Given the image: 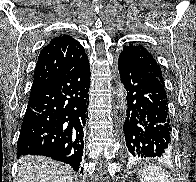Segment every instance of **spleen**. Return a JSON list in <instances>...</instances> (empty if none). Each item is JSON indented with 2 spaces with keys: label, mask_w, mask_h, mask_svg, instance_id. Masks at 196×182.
<instances>
[{
  "label": "spleen",
  "mask_w": 196,
  "mask_h": 182,
  "mask_svg": "<svg viewBox=\"0 0 196 182\" xmlns=\"http://www.w3.org/2000/svg\"><path fill=\"white\" fill-rule=\"evenodd\" d=\"M140 178L141 182H171L168 172L156 167L143 169Z\"/></svg>",
  "instance_id": "obj_1"
}]
</instances>
